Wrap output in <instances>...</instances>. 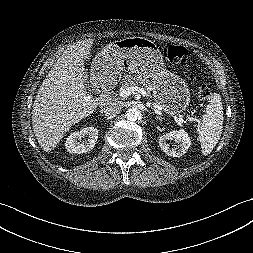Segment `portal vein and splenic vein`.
I'll return each mask as SVG.
<instances>
[{"label":"portal vein and splenic vein","mask_w":253,"mask_h":253,"mask_svg":"<svg viewBox=\"0 0 253 253\" xmlns=\"http://www.w3.org/2000/svg\"><path fill=\"white\" fill-rule=\"evenodd\" d=\"M134 92H138V93L142 94L143 96L147 95L146 91L143 88H140L137 86H132V87H127L125 89H121V91L119 92V95H120V97L124 98V97L130 96ZM188 120L200 122V119H196V118H192V117H188ZM179 121L181 123L185 122L182 118H179Z\"/></svg>","instance_id":"obj_1"}]
</instances>
